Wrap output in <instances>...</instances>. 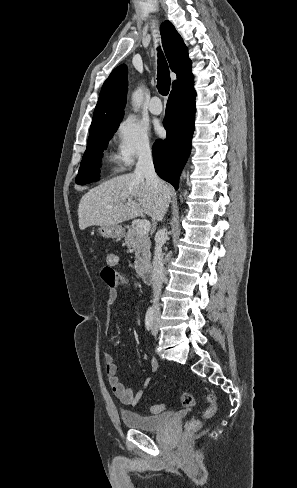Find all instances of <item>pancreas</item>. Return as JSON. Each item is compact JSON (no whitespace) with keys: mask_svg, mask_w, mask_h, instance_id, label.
Listing matches in <instances>:
<instances>
[{"mask_svg":"<svg viewBox=\"0 0 297 488\" xmlns=\"http://www.w3.org/2000/svg\"><path fill=\"white\" fill-rule=\"evenodd\" d=\"M125 244L135 252V270L138 272L150 263V237L148 234H140L136 227L129 228L125 236Z\"/></svg>","mask_w":297,"mask_h":488,"instance_id":"pancreas-1","label":"pancreas"}]
</instances>
